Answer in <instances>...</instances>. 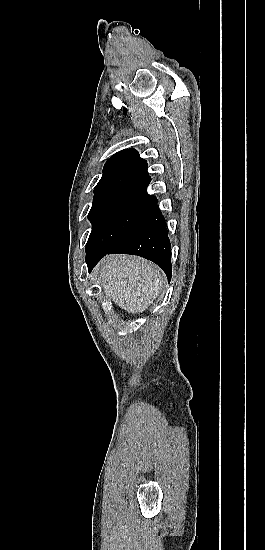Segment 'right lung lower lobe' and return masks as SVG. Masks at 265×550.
Segmentation results:
<instances>
[{"label": "right lung lower lobe", "instance_id": "obj_1", "mask_svg": "<svg viewBox=\"0 0 265 550\" xmlns=\"http://www.w3.org/2000/svg\"><path fill=\"white\" fill-rule=\"evenodd\" d=\"M171 246L165 219L157 200L139 221L110 249L86 255L89 272L106 254L124 253L144 257L158 264L170 282L172 275Z\"/></svg>", "mask_w": 265, "mask_h": 550}]
</instances>
